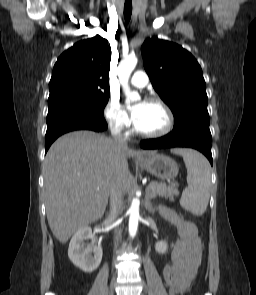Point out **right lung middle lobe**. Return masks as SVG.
I'll return each mask as SVG.
<instances>
[{
    "label": "right lung middle lobe",
    "mask_w": 256,
    "mask_h": 295,
    "mask_svg": "<svg viewBox=\"0 0 256 295\" xmlns=\"http://www.w3.org/2000/svg\"><path fill=\"white\" fill-rule=\"evenodd\" d=\"M109 95L79 96L68 95L48 101L47 118L65 114L81 116H103Z\"/></svg>",
    "instance_id": "1"
}]
</instances>
